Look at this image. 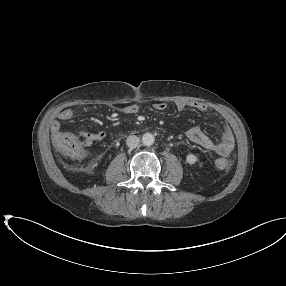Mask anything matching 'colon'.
Instances as JSON below:
<instances>
[{"instance_id": "obj_1", "label": "colon", "mask_w": 286, "mask_h": 286, "mask_svg": "<svg viewBox=\"0 0 286 286\" xmlns=\"http://www.w3.org/2000/svg\"><path fill=\"white\" fill-rule=\"evenodd\" d=\"M53 142L58 152L66 158L84 161L88 158V153L84 146L86 139L82 134L72 132H58L53 137ZM232 165L231 160L218 159L216 167L218 169H227Z\"/></svg>"}]
</instances>
